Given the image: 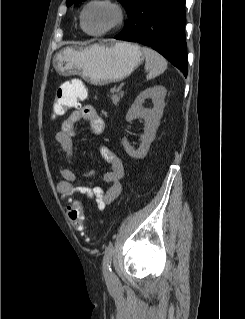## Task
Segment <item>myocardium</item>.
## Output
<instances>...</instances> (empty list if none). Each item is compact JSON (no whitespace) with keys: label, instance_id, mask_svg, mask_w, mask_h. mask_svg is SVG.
Wrapping results in <instances>:
<instances>
[{"label":"myocardium","instance_id":"myocardium-1","mask_svg":"<svg viewBox=\"0 0 245 319\" xmlns=\"http://www.w3.org/2000/svg\"><path fill=\"white\" fill-rule=\"evenodd\" d=\"M96 5H102V6H106L109 7L110 9H112L115 13V19L113 21V23L108 26L107 28L100 30V31H96V32H91L89 30H87L86 26H85V16L87 11ZM126 18V10L123 7V5L119 2H117L116 0H89L83 7L82 11H81V15H80V25L81 28L83 29V31L90 35V36H104L107 34L112 33L113 31H115L116 29H118L125 21Z\"/></svg>","mask_w":245,"mask_h":319}]
</instances>
